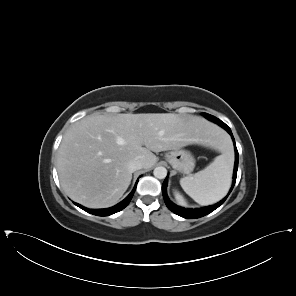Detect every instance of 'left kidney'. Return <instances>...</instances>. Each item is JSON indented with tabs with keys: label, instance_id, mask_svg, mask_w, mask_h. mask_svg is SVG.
I'll return each mask as SVG.
<instances>
[{
	"label": "left kidney",
	"instance_id": "1",
	"mask_svg": "<svg viewBox=\"0 0 296 296\" xmlns=\"http://www.w3.org/2000/svg\"><path fill=\"white\" fill-rule=\"evenodd\" d=\"M173 194H174V196H175V199H176L179 203H181V204H184V203H185L184 198H183V196L179 193V191L174 190V191H173Z\"/></svg>",
	"mask_w": 296,
	"mask_h": 296
}]
</instances>
